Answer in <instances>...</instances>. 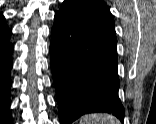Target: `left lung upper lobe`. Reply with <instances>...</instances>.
<instances>
[{
	"instance_id": "left-lung-upper-lobe-1",
	"label": "left lung upper lobe",
	"mask_w": 156,
	"mask_h": 124,
	"mask_svg": "<svg viewBox=\"0 0 156 124\" xmlns=\"http://www.w3.org/2000/svg\"><path fill=\"white\" fill-rule=\"evenodd\" d=\"M84 5L90 11H93L101 17L107 19L114 24L113 17L109 11L107 4L103 0H76Z\"/></svg>"
}]
</instances>
